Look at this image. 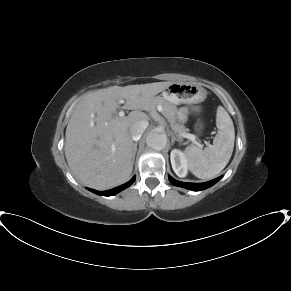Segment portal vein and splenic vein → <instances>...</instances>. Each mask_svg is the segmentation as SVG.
Returning <instances> with one entry per match:
<instances>
[{
	"mask_svg": "<svg viewBox=\"0 0 291 291\" xmlns=\"http://www.w3.org/2000/svg\"><path fill=\"white\" fill-rule=\"evenodd\" d=\"M157 110H158L159 112H162L163 108H162L161 106H158V107H157ZM124 115H125L124 111H120V112H119V116H120V117H123ZM180 136H181V137H184V138H187V139H189V140H191V141H192L193 143H195V144H198V143L196 142V136L193 135V134H190V133H181ZM198 145H199V144H198ZM199 146L202 147V145H199Z\"/></svg>",
	"mask_w": 291,
	"mask_h": 291,
	"instance_id": "obj_1",
	"label": "portal vein and splenic vein"
}]
</instances>
